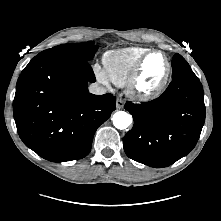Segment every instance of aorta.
Segmentation results:
<instances>
[{
	"label": "aorta",
	"instance_id": "762f6f07",
	"mask_svg": "<svg viewBox=\"0 0 221 221\" xmlns=\"http://www.w3.org/2000/svg\"><path fill=\"white\" fill-rule=\"evenodd\" d=\"M112 121L117 129L124 130L132 124V116L125 111H117L114 113Z\"/></svg>",
	"mask_w": 221,
	"mask_h": 221
}]
</instances>
